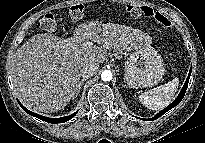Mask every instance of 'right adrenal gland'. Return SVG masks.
<instances>
[{"label":"right adrenal gland","instance_id":"1","mask_svg":"<svg viewBox=\"0 0 205 143\" xmlns=\"http://www.w3.org/2000/svg\"><path fill=\"white\" fill-rule=\"evenodd\" d=\"M86 80H87V79H82V80L80 81V83H79V85H78V89H77V91H76V93H75L73 99H75V98L78 96V94H79V92H80V89L82 88V85H83V83H84Z\"/></svg>","mask_w":205,"mask_h":143}]
</instances>
